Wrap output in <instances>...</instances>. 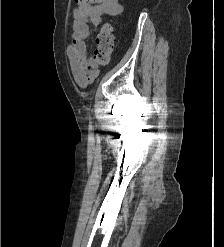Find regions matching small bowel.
Segmentation results:
<instances>
[{"instance_id": "c3829d8e", "label": "small bowel", "mask_w": 224, "mask_h": 247, "mask_svg": "<svg viewBox=\"0 0 224 247\" xmlns=\"http://www.w3.org/2000/svg\"><path fill=\"white\" fill-rule=\"evenodd\" d=\"M73 10L71 42L67 48L71 72L80 87H86L98 76V64L89 56L86 39L91 26L96 30L103 15L117 16L123 12L118 0H79Z\"/></svg>"}]
</instances>
